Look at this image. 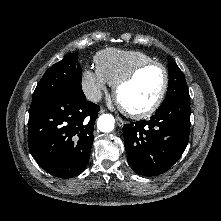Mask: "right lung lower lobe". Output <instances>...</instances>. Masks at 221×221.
I'll list each match as a JSON object with an SVG mask.
<instances>
[{
	"label": "right lung lower lobe",
	"mask_w": 221,
	"mask_h": 221,
	"mask_svg": "<svg viewBox=\"0 0 221 221\" xmlns=\"http://www.w3.org/2000/svg\"><path fill=\"white\" fill-rule=\"evenodd\" d=\"M100 108L85 95H54L29 111L28 145L49 174L71 178L86 168Z\"/></svg>",
	"instance_id": "obj_1"
}]
</instances>
